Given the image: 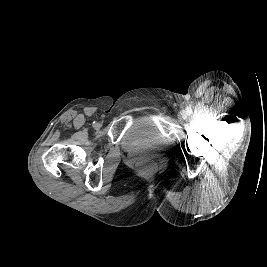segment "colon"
Wrapping results in <instances>:
<instances>
[{"label": "colon", "mask_w": 267, "mask_h": 267, "mask_svg": "<svg viewBox=\"0 0 267 267\" xmlns=\"http://www.w3.org/2000/svg\"><path fill=\"white\" fill-rule=\"evenodd\" d=\"M141 173L145 176H149L154 173L155 165L151 162H142L139 164Z\"/></svg>", "instance_id": "obj_1"}]
</instances>
